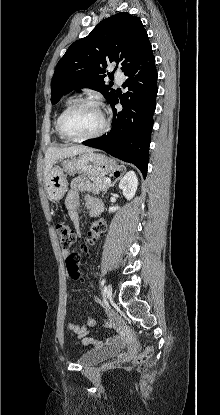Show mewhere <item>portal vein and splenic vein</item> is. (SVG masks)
I'll list each match as a JSON object with an SVG mask.
<instances>
[{
    "label": "portal vein and splenic vein",
    "instance_id": "obj_1",
    "mask_svg": "<svg viewBox=\"0 0 220 415\" xmlns=\"http://www.w3.org/2000/svg\"><path fill=\"white\" fill-rule=\"evenodd\" d=\"M105 182H106V183H110V182H111V179H110V178H106V179H105Z\"/></svg>",
    "mask_w": 220,
    "mask_h": 415
}]
</instances>
